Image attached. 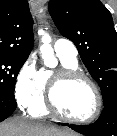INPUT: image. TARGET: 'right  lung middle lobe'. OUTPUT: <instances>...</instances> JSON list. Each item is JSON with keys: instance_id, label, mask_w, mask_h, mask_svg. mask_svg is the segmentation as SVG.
I'll use <instances>...</instances> for the list:
<instances>
[{"instance_id": "1", "label": "right lung middle lobe", "mask_w": 117, "mask_h": 136, "mask_svg": "<svg viewBox=\"0 0 117 136\" xmlns=\"http://www.w3.org/2000/svg\"><path fill=\"white\" fill-rule=\"evenodd\" d=\"M27 58L0 55V95L14 97V85L18 73Z\"/></svg>"}]
</instances>
